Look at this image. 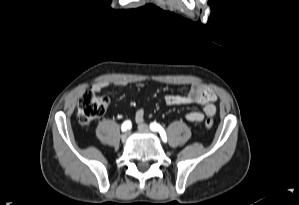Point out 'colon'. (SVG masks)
I'll return each mask as SVG.
<instances>
[{
  "mask_svg": "<svg viewBox=\"0 0 299 205\" xmlns=\"http://www.w3.org/2000/svg\"><path fill=\"white\" fill-rule=\"evenodd\" d=\"M108 107V99L99 95L92 89L85 91L78 103V122L81 125H87L93 120L102 116ZM205 126L210 129L213 126V120L211 118L205 119Z\"/></svg>",
  "mask_w": 299,
  "mask_h": 205,
  "instance_id": "1",
  "label": "colon"
}]
</instances>
